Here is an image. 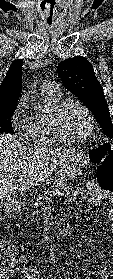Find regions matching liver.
<instances>
[{"label": "liver", "instance_id": "6515ba94", "mask_svg": "<svg viewBox=\"0 0 113 279\" xmlns=\"http://www.w3.org/2000/svg\"><path fill=\"white\" fill-rule=\"evenodd\" d=\"M71 152L24 147L15 136L0 134V199L43 182Z\"/></svg>", "mask_w": 113, "mask_h": 279}]
</instances>
